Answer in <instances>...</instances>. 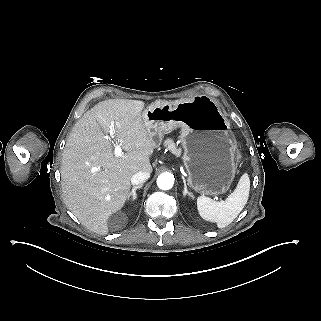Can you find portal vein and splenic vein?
I'll list each match as a JSON object with an SVG mask.
<instances>
[{
    "instance_id": "portal-vein-and-splenic-vein-1",
    "label": "portal vein and splenic vein",
    "mask_w": 321,
    "mask_h": 321,
    "mask_svg": "<svg viewBox=\"0 0 321 321\" xmlns=\"http://www.w3.org/2000/svg\"><path fill=\"white\" fill-rule=\"evenodd\" d=\"M106 138L108 140H112L114 142V147H115V155L119 156L121 153H122V143L123 141L122 140H117L115 138V135L113 132H111L109 135L106 136ZM211 200L213 201V203H218V197L213 193L211 195Z\"/></svg>"
}]
</instances>
